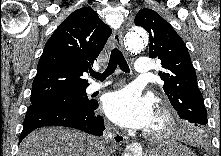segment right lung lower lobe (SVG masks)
I'll return each instance as SVG.
<instances>
[{
    "label": "right lung lower lobe",
    "mask_w": 221,
    "mask_h": 156,
    "mask_svg": "<svg viewBox=\"0 0 221 156\" xmlns=\"http://www.w3.org/2000/svg\"><path fill=\"white\" fill-rule=\"evenodd\" d=\"M98 102L88 108L31 105L26 113L19 143L31 131L44 126L72 127L93 135H102L105 129L103 118L95 113Z\"/></svg>",
    "instance_id": "98d812e1"
}]
</instances>
